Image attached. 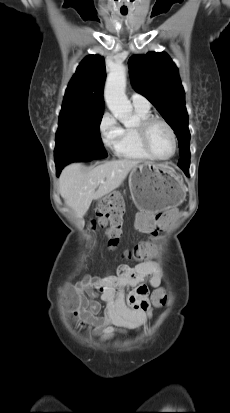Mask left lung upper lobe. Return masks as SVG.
I'll return each instance as SVG.
<instances>
[{"instance_id":"5c2ea615","label":"left lung upper lobe","mask_w":230,"mask_h":413,"mask_svg":"<svg viewBox=\"0 0 230 413\" xmlns=\"http://www.w3.org/2000/svg\"><path fill=\"white\" fill-rule=\"evenodd\" d=\"M128 63L134 89L145 96L172 127L179 142L178 166L182 170H189L188 114L176 65L165 52L134 55Z\"/></svg>"}]
</instances>
